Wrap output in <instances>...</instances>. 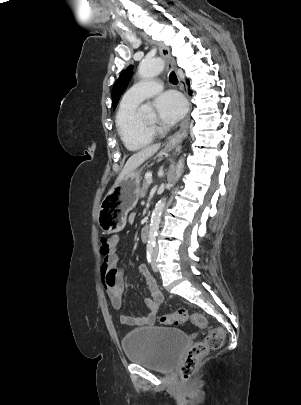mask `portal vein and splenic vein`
I'll list each match as a JSON object with an SVG mask.
<instances>
[{
	"instance_id": "obj_1",
	"label": "portal vein and splenic vein",
	"mask_w": 301,
	"mask_h": 405,
	"mask_svg": "<svg viewBox=\"0 0 301 405\" xmlns=\"http://www.w3.org/2000/svg\"><path fill=\"white\" fill-rule=\"evenodd\" d=\"M145 178L150 180L152 178V174L151 173H146Z\"/></svg>"
}]
</instances>
